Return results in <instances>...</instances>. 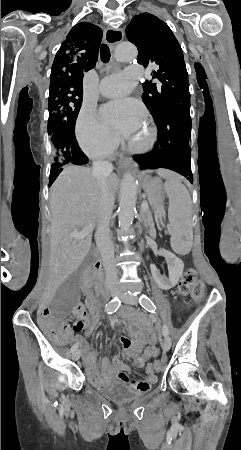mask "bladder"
<instances>
[{
  "label": "bladder",
  "instance_id": "obj_1",
  "mask_svg": "<svg viewBox=\"0 0 241 450\" xmlns=\"http://www.w3.org/2000/svg\"><path fill=\"white\" fill-rule=\"evenodd\" d=\"M104 394L110 400L118 403L130 402L141 395L140 392L123 382L111 384L104 390Z\"/></svg>",
  "mask_w": 241,
  "mask_h": 450
}]
</instances>
